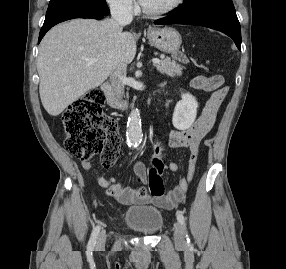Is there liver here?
I'll use <instances>...</instances> for the list:
<instances>
[{
  "label": "liver",
  "instance_id": "1",
  "mask_svg": "<svg viewBox=\"0 0 286 269\" xmlns=\"http://www.w3.org/2000/svg\"><path fill=\"white\" fill-rule=\"evenodd\" d=\"M113 19H74L53 27L39 47V93L45 110L58 116L101 85L122 64L133 61L134 36ZM85 57L96 58L92 64Z\"/></svg>",
  "mask_w": 286,
  "mask_h": 269
}]
</instances>
